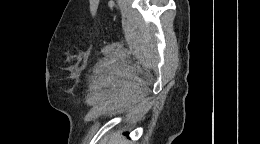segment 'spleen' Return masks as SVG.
Returning <instances> with one entry per match:
<instances>
[{
  "mask_svg": "<svg viewBox=\"0 0 260 144\" xmlns=\"http://www.w3.org/2000/svg\"><path fill=\"white\" fill-rule=\"evenodd\" d=\"M121 143H123V140L118 136L113 137L109 142V144H121Z\"/></svg>",
  "mask_w": 260,
  "mask_h": 144,
  "instance_id": "1",
  "label": "spleen"
}]
</instances>
